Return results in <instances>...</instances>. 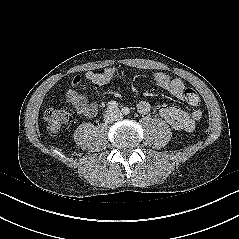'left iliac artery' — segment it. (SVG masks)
<instances>
[{
    "mask_svg": "<svg viewBox=\"0 0 239 239\" xmlns=\"http://www.w3.org/2000/svg\"><path fill=\"white\" fill-rule=\"evenodd\" d=\"M122 112H123L124 115H128L130 113V109L128 107H124L122 109Z\"/></svg>",
    "mask_w": 239,
    "mask_h": 239,
    "instance_id": "44dca946",
    "label": "left iliac artery"
}]
</instances>
